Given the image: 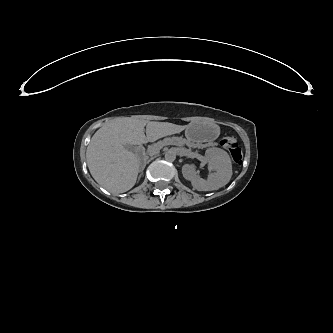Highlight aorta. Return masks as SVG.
<instances>
[{
	"instance_id": "762f6f07",
	"label": "aorta",
	"mask_w": 333,
	"mask_h": 333,
	"mask_svg": "<svg viewBox=\"0 0 333 333\" xmlns=\"http://www.w3.org/2000/svg\"><path fill=\"white\" fill-rule=\"evenodd\" d=\"M176 159V153L174 151H168L165 153V160L168 162H174Z\"/></svg>"
}]
</instances>
